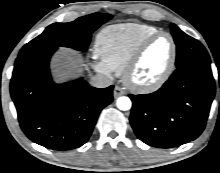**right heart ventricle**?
I'll use <instances>...</instances> for the list:
<instances>
[{
  "label": "right heart ventricle",
  "instance_id": "1",
  "mask_svg": "<svg viewBox=\"0 0 220 173\" xmlns=\"http://www.w3.org/2000/svg\"><path fill=\"white\" fill-rule=\"evenodd\" d=\"M159 29L140 23L109 26L97 36L96 53L112 72L121 74L138 45Z\"/></svg>",
  "mask_w": 220,
  "mask_h": 173
}]
</instances>
